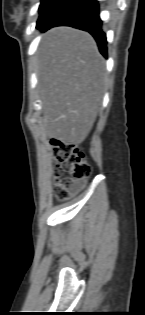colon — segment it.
I'll list each match as a JSON object with an SVG mask.
<instances>
[{
    "label": "colon",
    "instance_id": "5ec220e1",
    "mask_svg": "<svg viewBox=\"0 0 145 315\" xmlns=\"http://www.w3.org/2000/svg\"><path fill=\"white\" fill-rule=\"evenodd\" d=\"M51 144L54 150L55 197L65 201L82 187L92 168L76 144L59 138H53Z\"/></svg>",
    "mask_w": 145,
    "mask_h": 315
}]
</instances>
